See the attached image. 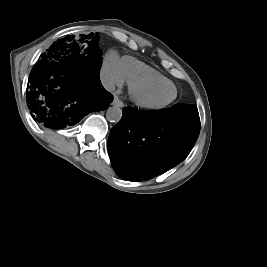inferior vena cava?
<instances>
[{"label": "inferior vena cava", "mask_w": 267, "mask_h": 267, "mask_svg": "<svg viewBox=\"0 0 267 267\" xmlns=\"http://www.w3.org/2000/svg\"><path fill=\"white\" fill-rule=\"evenodd\" d=\"M100 80H101V83H102L103 87L107 91H114L115 90V84H114V82L112 81V79L108 75L102 73L100 75Z\"/></svg>", "instance_id": "602c4592"}]
</instances>
